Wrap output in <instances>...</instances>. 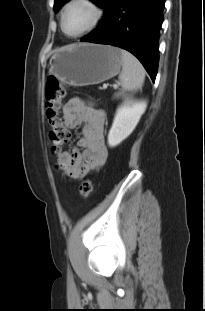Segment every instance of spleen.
I'll list each match as a JSON object with an SVG mask.
<instances>
[{"label": "spleen", "instance_id": "1", "mask_svg": "<svg viewBox=\"0 0 205 311\" xmlns=\"http://www.w3.org/2000/svg\"><path fill=\"white\" fill-rule=\"evenodd\" d=\"M121 54L123 69L119 76V80L121 82L122 92L118 93V95L126 91L141 89L145 79V70L140 61L126 50H121Z\"/></svg>", "mask_w": 205, "mask_h": 311}]
</instances>
